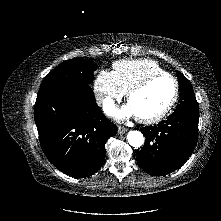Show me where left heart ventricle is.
<instances>
[{
  "label": "left heart ventricle",
  "instance_id": "left-heart-ventricle-1",
  "mask_svg": "<svg viewBox=\"0 0 221 221\" xmlns=\"http://www.w3.org/2000/svg\"><path fill=\"white\" fill-rule=\"evenodd\" d=\"M173 92V82L166 77L159 78L133 95L129 100V105L136 116L150 117L165 108L171 100Z\"/></svg>",
  "mask_w": 221,
  "mask_h": 221
}]
</instances>
